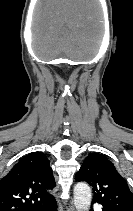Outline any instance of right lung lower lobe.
Returning <instances> with one entry per match:
<instances>
[{"mask_svg":"<svg viewBox=\"0 0 133 211\" xmlns=\"http://www.w3.org/2000/svg\"><path fill=\"white\" fill-rule=\"evenodd\" d=\"M40 210H43V211H57V204H56L55 199H53L50 203H48L45 206H43Z\"/></svg>","mask_w":133,"mask_h":211,"instance_id":"obj_1","label":"right lung lower lobe"}]
</instances>
